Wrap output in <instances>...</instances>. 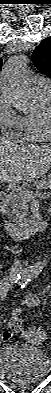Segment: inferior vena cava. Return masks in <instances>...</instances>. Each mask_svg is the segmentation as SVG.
Segmentation results:
<instances>
[{"mask_svg": "<svg viewBox=\"0 0 51 393\" xmlns=\"http://www.w3.org/2000/svg\"><path fill=\"white\" fill-rule=\"evenodd\" d=\"M22 269L21 261L19 259L14 260V264L11 267V271L16 273L19 272Z\"/></svg>", "mask_w": 51, "mask_h": 393, "instance_id": "obj_1", "label": "inferior vena cava"}]
</instances>
